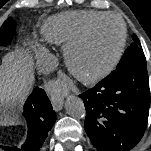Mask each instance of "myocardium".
<instances>
[{
	"mask_svg": "<svg viewBox=\"0 0 151 151\" xmlns=\"http://www.w3.org/2000/svg\"><path fill=\"white\" fill-rule=\"evenodd\" d=\"M114 19L116 20L120 26H121V38L118 45V48L116 50V53L112 57V59L103 67L92 71V72H84L77 64L76 62V55L79 52V50L86 44V42L89 40L90 36L94 32V30L104 21ZM127 25L124 21V19L116 14V13H107L95 21H93L85 30L84 32L76 38L74 41L70 42L65 47V60L66 64L68 66L69 71L81 82L83 83H95L97 81H100L101 79L105 78L107 75H109L115 67L120 62L126 42H127Z\"/></svg>",
	"mask_w": 151,
	"mask_h": 151,
	"instance_id": "obj_1",
	"label": "myocardium"
}]
</instances>
